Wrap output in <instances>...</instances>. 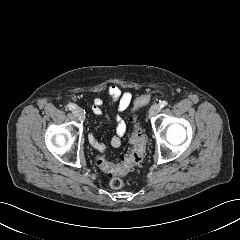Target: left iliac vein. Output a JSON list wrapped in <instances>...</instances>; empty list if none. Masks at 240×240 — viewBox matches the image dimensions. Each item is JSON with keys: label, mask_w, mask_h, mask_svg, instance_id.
Listing matches in <instances>:
<instances>
[{"label": "left iliac vein", "mask_w": 240, "mask_h": 240, "mask_svg": "<svg viewBox=\"0 0 240 240\" xmlns=\"http://www.w3.org/2000/svg\"><path fill=\"white\" fill-rule=\"evenodd\" d=\"M161 110V107L160 105L158 104H154L153 106H151V108L149 109V116L152 117V116H155L157 115Z\"/></svg>", "instance_id": "left-iliac-vein-1"}]
</instances>
